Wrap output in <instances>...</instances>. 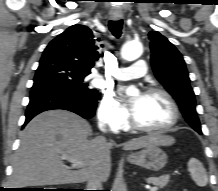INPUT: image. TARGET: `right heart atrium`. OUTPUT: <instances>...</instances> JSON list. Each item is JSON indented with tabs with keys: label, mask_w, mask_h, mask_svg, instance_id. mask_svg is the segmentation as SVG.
Here are the masks:
<instances>
[{
	"label": "right heart atrium",
	"mask_w": 218,
	"mask_h": 191,
	"mask_svg": "<svg viewBox=\"0 0 218 191\" xmlns=\"http://www.w3.org/2000/svg\"><path fill=\"white\" fill-rule=\"evenodd\" d=\"M97 115L99 122L113 131L124 127L129 119L126 108L110 92L103 95Z\"/></svg>",
	"instance_id": "1"
}]
</instances>
